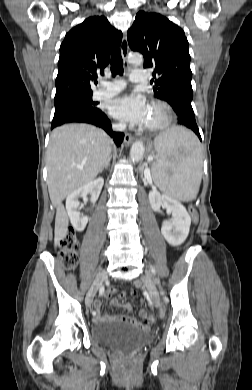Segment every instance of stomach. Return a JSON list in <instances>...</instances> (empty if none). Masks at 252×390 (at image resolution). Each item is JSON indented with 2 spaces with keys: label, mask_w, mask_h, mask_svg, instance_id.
Returning a JSON list of instances; mask_svg holds the SVG:
<instances>
[{
  "label": "stomach",
  "mask_w": 252,
  "mask_h": 390,
  "mask_svg": "<svg viewBox=\"0 0 252 390\" xmlns=\"http://www.w3.org/2000/svg\"><path fill=\"white\" fill-rule=\"evenodd\" d=\"M167 159L171 161V160L173 159V155H169V156L167 157Z\"/></svg>",
  "instance_id": "1"
}]
</instances>
